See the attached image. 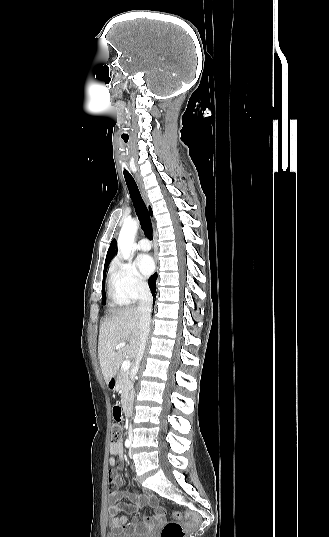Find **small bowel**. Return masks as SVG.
I'll list each match as a JSON object with an SVG mask.
<instances>
[{
    "label": "small bowel",
    "instance_id": "small-bowel-1",
    "mask_svg": "<svg viewBox=\"0 0 329 537\" xmlns=\"http://www.w3.org/2000/svg\"><path fill=\"white\" fill-rule=\"evenodd\" d=\"M112 412L114 422L117 424L122 423L124 417L118 404H113ZM110 454L111 458L108 461V481L110 484L108 489V512L110 515V528L125 533L142 534L159 526L163 521L164 510L158 505L156 498L152 494L146 492L142 495H136L129 492L114 490L112 487H119L124 483L123 478L119 474L118 469L120 465L117 462V459L123 460L124 458V448L121 441L118 443H111ZM123 499L129 500L131 504L122 502ZM141 505H150L153 508L152 515L146 516L143 519L136 517L133 521H128L126 515H118L122 511L133 513Z\"/></svg>",
    "mask_w": 329,
    "mask_h": 537
}]
</instances>
